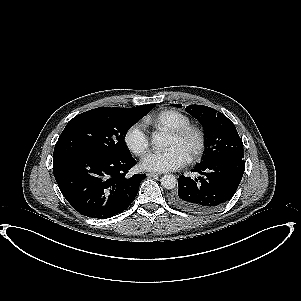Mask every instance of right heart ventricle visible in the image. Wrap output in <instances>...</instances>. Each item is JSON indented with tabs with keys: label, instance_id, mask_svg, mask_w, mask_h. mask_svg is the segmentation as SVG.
I'll return each instance as SVG.
<instances>
[{
	"label": "right heart ventricle",
	"instance_id": "right-heart-ventricle-1",
	"mask_svg": "<svg viewBox=\"0 0 301 301\" xmlns=\"http://www.w3.org/2000/svg\"><path fill=\"white\" fill-rule=\"evenodd\" d=\"M151 122L157 131H170L190 126L188 117L177 111H166Z\"/></svg>",
	"mask_w": 301,
	"mask_h": 301
}]
</instances>
